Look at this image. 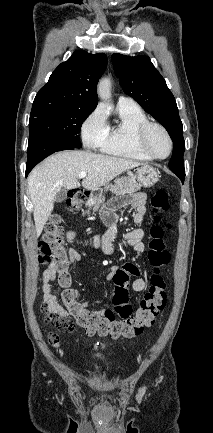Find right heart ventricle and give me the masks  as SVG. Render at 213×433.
Segmentation results:
<instances>
[{"label": "right heart ventricle", "instance_id": "1", "mask_svg": "<svg viewBox=\"0 0 213 433\" xmlns=\"http://www.w3.org/2000/svg\"><path fill=\"white\" fill-rule=\"evenodd\" d=\"M118 121L108 125L106 134L99 146L101 152L135 160H151L143 153L136 142L138 127L147 122L148 118L137 104L117 105Z\"/></svg>", "mask_w": 213, "mask_h": 433}]
</instances>
